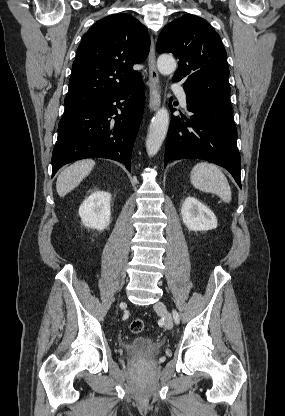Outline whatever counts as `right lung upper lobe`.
Segmentation results:
<instances>
[{
  "label": "right lung upper lobe",
  "mask_w": 285,
  "mask_h": 416,
  "mask_svg": "<svg viewBox=\"0 0 285 416\" xmlns=\"http://www.w3.org/2000/svg\"><path fill=\"white\" fill-rule=\"evenodd\" d=\"M149 50L147 28L131 15L97 21L78 47L65 109L108 100L142 80L133 65L143 62Z\"/></svg>",
  "instance_id": "right-lung-upper-lobe-1"
}]
</instances>
